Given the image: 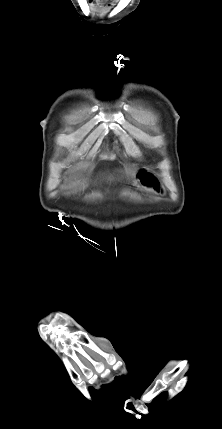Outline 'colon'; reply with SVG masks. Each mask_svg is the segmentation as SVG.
Segmentation results:
<instances>
[{"instance_id":"obj_1","label":"colon","mask_w":222,"mask_h":429,"mask_svg":"<svg viewBox=\"0 0 222 429\" xmlns=\"http://www.w3.org/2000/svg\"><path fill=\"white\" fill-rule=\"evenodd\" d=\"M137 179L138 182L144 187L152 189H157L159 187V183L155 175L147 169L140 170L137 174Z\"/></svg>"}]
</instances>
